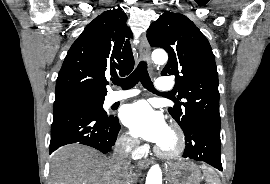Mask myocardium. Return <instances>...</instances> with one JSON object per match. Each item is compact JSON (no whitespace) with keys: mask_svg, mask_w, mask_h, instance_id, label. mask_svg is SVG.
I'll return each instance as SVG.
<instances>
[{"mask_svg":"<svg viewBox=\"0 0 270 184\" xmlns=\"http://www.w3.org/2000/svg\"><path fill=\"white\" fill-rule=\"evenodd\" d=\"M169 132L173 138V145L170 149H164L161 146L155 148L156 154L164 159L178 158L184 151L185 138L182 130L176 124H173L169 128Z\"/></svg>","mask_w":270,"mask_h":184,"instance_id":"1","label":"myocardium"}]
</instances>
